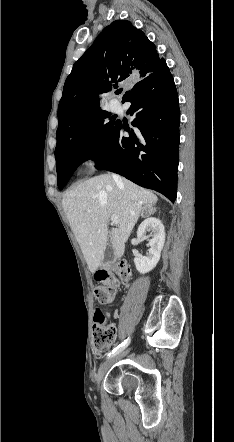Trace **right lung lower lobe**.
<instances>
[{"mask_svg": "<svg viewBox=\"0 0 234 442\" xmlns=\"http://www.w3.org/2000/svg\"><path fill=\"white\" fill-rule=\"evenodd\" d=\"M124 102L134 117L129 129L117 121L109 139L94 158L97 169L120 174L134 183L165 195L172 202L177 193L179 155V101L166 62L140 81ZM127 131L129 137H124Z\"/></svg>", "mask_w": 234, "mask_h": 442, "instance_id": "obj_1", "label": "right lung lower lobe"}]
</instances>
